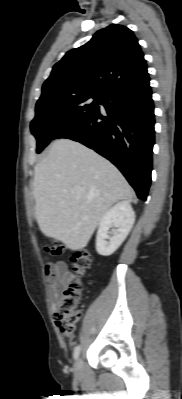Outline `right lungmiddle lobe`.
I'll return each instance as SVG.
<instances>
[{
	"instance_id": "dd1d6c3e",
	"label": "right lung middle lobe",
	"mask_w": 182,
	"mask_h": 399,
	"mask_svg": "<svg viewBox=\"0 0 182 399\" xmlns=\"http://www.w3.org/2000/svg\"><path fill=\"white\" fill-rule=\"evenodd\" d=\"M102 100L103 95L80 94L38 102L35 118L30 125L31 132L37 139V153H40L57 134L95 115Z\"/></svg>"
}]
</instances>
